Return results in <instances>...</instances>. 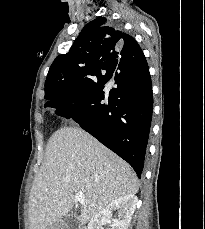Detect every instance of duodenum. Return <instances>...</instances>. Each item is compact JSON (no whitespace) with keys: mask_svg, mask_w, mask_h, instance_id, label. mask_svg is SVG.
Returning <instances> with one entry per match:
<instances>
[{"mask_svg":"<svg viewBox=\"0 0 205 229\" xmlns=\"http://www.w3.org/2000/svg\"><path fill=\"white\" fill-rule=\"evenodd\" d=\"M77 229H86L85 227H80V228H77Z\"/></svg>","mask_w":205,"mask_h":229,"instance_id":"duodenum-1","label":"duodenum"}]
</instances>
